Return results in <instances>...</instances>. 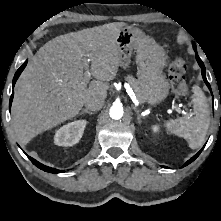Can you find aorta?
<instances>
[{
    "instance_id": "obj_1",
    "label": "aorta",
    "mask_w": 221,
    "mask_h": 221,
    "mask_svg": "<svg viewBox=\"0 0 221 221\" xmlns=\"http://www.w3.org/2000/svg\"><path fill=\"white\" fill-rule=\"evenodd\" d=\"M123 107L120 104H114L109 110V115L114 120H119L123 116Z\"/></svg>"
}]
</instances>
